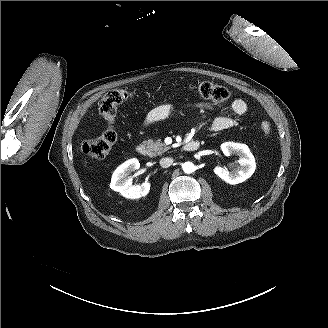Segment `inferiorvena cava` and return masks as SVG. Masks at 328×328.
<instances>
[{"label":"inferior vena cava","instance_id":"602c4592","mask_svg":"<svg viewBox=\"0 0 328 328\" xmlns=\"http://www.w3.org/2000/svg\"><path fill=\"white\" fill-rule=\"evenodd\" d=\"M172 163H173V158L164 157V158L160 159V166L163 168H167V167L171 166Z\"/></svg>","mask_w":328,"mask_h":328}]
</instances>
